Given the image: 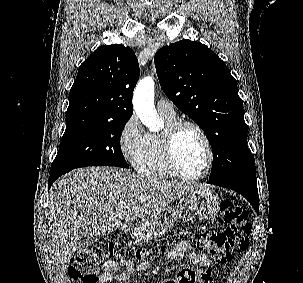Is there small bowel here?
Listing matches in <instances>:
<instances>
[{
    "label": "small bowel",
    "mask_w": 303,
    "mask_h": 283,
    "mask_svg": "<svg viewBox=\"0 0 303 283\" xmlns=\"http://www.w3.org/2000/svg\"><path fill=\"white\" fill-rule=\"evenodd\" d=\"M167 258L169 260L187 258L197 268H207L212 264L211 259L207 255L198 253L187 241H182L175 245L173 249L167 253ZM149 267V262H143L135 267L134 264L127 259L111 260L103 265L99 283H108L113 280L126 281L132 272H145ZM200 283H212L211 274L203 271L200 277Z\"/></svg>",
    "instance_id": "obj_1"
}]
</instances>
